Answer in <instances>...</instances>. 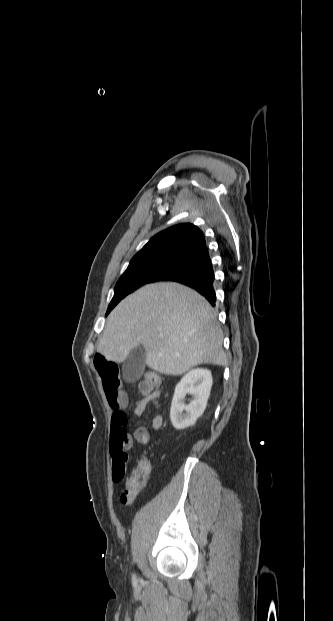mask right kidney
<instances>
[{"instance_id":"right-kidney-1","label":"right kidney","mask_w":333,"mask_h":621,"mask_svg":"<svg viewBox=\"0 0 333 621\" xmlns=\"http://www.w3.org/2000/svg\"><path fill=\"white\" fill-rule=\"evenodd\" d=\"M211 386L212 375L207 369H193L183 376L175 388L170 410V419L176 429H184L192 425L203 414ZM187 394L193 396L188 405L184 402Z\"/></svg>"}]
</instances>
